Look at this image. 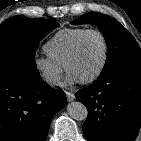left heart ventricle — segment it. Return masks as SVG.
<instances>
[{
    "instance_id": "1",
    "label": "left heart ventricle",
    "mask_w": 141,
    "mask_h": 141,
    "mask_svg": "<svg viewBox=\"0 0 141 141\" xmlns=\"http://www.w3.org/2000/svg\"><path fill=\"white\" fill-rule=\"evenodd\" d=\"M104 46L97 34L85 37L76 58L69 64L68 71L76 74L80 80L92 76L100 67L103 59Z\"/></svg>"
}]
</instances>
